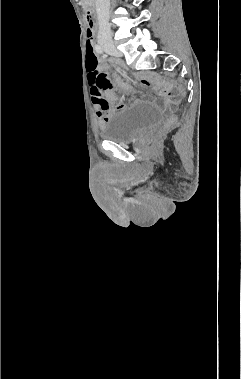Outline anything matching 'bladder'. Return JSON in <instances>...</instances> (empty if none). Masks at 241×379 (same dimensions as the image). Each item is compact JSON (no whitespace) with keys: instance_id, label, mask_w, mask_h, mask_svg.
I'll return each mask as SVG.
<instances>
[{"instance_id":"obj_1","label":"bladder","mask_w":241,"mask_h":379,"mask_svg":"<svg viewBox=\"0 0 241 379\" xmlns=\"http://www.w3.org/2000/svg\"><path fill=\"white\" fill-rule=\"evenodd\" d=\"M163 119L162 111L154 105L138 103L113 112L100 127V137L118 144H127Z\"/></svg>"}]
</instances>
